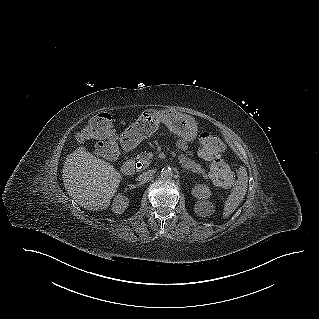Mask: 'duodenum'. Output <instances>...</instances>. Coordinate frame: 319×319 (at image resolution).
Returning <instances> with one entry per match:
<instances>
[{
	"instance_id": "410a0bca",
	"label": "duodenum",
	"mask_w": 319,
	"mask_h": 319,
	"mask_svg": "<svg viewBox=\"0 0 319 319\" xmlns=\"http://www.w3.org/2000/svg\"><path fill=\"white\" fill-rule=\"evenodd\" d=\"M122 144L126 149H132L135 144V139L131 136H125L122 140ZM136 165L132 161H127L122 165L121 172L125 176H130L135 172Z\"/></svg>"
}]
</instances>
